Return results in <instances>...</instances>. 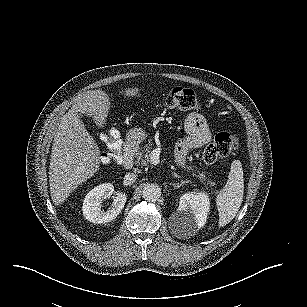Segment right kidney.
<instances>
[{
  "label": "right kidney",
  "mask_w": 307,
  "mask_h": 307,
  "mask_svg": "<svg viewBox=\"0 0 307 307\" xmlns=\"http://www.w3.org/2000/svg\"><path fill=\"white\" fill-rule=\"evenodd\" d=\"M114 193V186L110 182L101 183L86 194L82 202V216L93 223H107L115 219L124 208L127 198L125 194L117 193L114 203L107 211L103 210V202Z\"/></svg>",
  "instance_id": "1"
}]
</instances>
